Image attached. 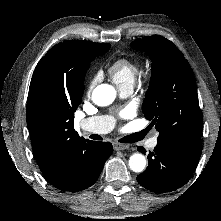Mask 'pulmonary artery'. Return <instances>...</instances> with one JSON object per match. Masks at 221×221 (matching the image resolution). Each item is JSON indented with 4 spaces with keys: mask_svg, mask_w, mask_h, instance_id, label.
<instances>
[{
    "mask_svg": "<svg viewBox=\"0 0 221 221\" xmlns=\"http://www.w3.org/2000/svg\"><path fill=\"white\" fill-rule=\"evenodd\" d=\"M132 92V87H122L120 88V93L122 96H128ZM80 126L83 130L97 133V134H104L111 131L114 127V121L112 118L108 116H94L83 119L80 122ZM149 147L154 148L157 145V137H152L148 143Z\"/></svg>",
    "mask_w": 221,
    "mask_h": 221,
    "instance_id": "1",
    "label": "pulmonary artery"
}]
</instances>
